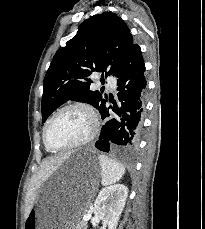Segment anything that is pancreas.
Here are the masks:
<instances>
[{"instance_id": "obj_1", "label": "pancreas", "mask_w": 205, "mask_h": 229, "mask_svg": "<svg viewBox=\"0 0 205 229\" xmlns=\"http://www.w3.org/2000/svg\"><path fill=\"white\" fill-rule=\"evenodd\" d=\"M77 229H86V222L85 221H79L77 225Z\"/></svg>"}]
</instances>
